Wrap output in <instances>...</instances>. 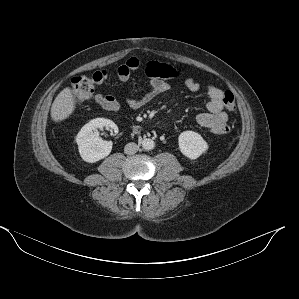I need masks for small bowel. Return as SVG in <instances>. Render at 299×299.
Instances as JSON below:
<instances>
[{
    "mask_svg": "<svg viewBox=\"0 0 299 299\" xmlns=\"http://www.w3.org/2000/svg\"><path fill=\"white\" fill-rule=\"evenodd\" d=\"M140 69L139 60L135 57L130 58L125 64L118 66L114 74L120 81H127L133 72ZM145 74L149 77V88L140 96H131L126 99L129 108L138 110L150 102L158 95L167 91L170 87L169 81L178 77V72L171 65L163 64L157 61H151L145 68ZM184 84L191 92L200 90V84L192 79L187 78ZM208 102L206 112L199 113L196 116L197 123L213 134H225L229 132L228 116L224 111L223 98L225 92L216 86L206 88ZM94 101L106 110L116 111L120 108V102L113 96L96 94Z\"/></svg>",
    "mask_w": 299,
    "mask_h": 299,
    "instance_id": "c3829d8e",
    "label": "small bowel"
}]
</instances>
